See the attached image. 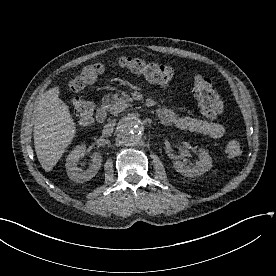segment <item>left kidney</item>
Returning a JSON list of instances; mask_svg holds the SVG:
<instances>
[{
  "label": "left kidney",
  "instance_id": "1",
  "mask_svg": "<svg viewBox=\"0 0 276 276\" xmlns=\"http://www.w3.org/2000/svg\"><path fill=\"white\" fill-rule=\"evenodd\" d=\"M200 160L195 165L189 166L182 161H175L173 167L175 170L186 177H196L209 171L212 167V158L204 148L198 150Z\"/></svg>",
  "mask_w": 276,
  "mask_h": 276
}]
</instances>
